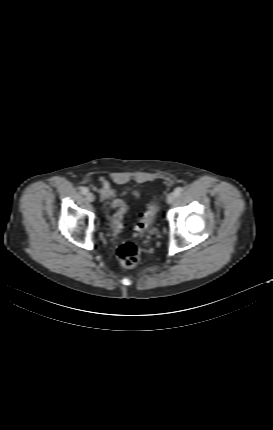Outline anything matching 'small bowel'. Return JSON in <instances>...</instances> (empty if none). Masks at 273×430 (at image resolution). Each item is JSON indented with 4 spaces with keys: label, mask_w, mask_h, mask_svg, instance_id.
<instances>
[{
    "label": "small bowel",
    "mask_w": 273,
    "mask_h": 430,
    "mask_svg": "<svg viewBox=\"0 0 273 430\" xmlns=\"http://www.w3.org/2000/svg\"><path fill=\"white\" fill-rule=\"evenodd\" d=\"M96 190L103 199L111 198L117 194V191L111 187L110 183L105 178L100 179L99 184L96 186ZM120 194L123 195L125 192H121ZM132 194L135 197L139 196L138 192L136 191H134Z\"/></svg>",
    "instance_id": "small-bowel-1"
}]
</instances>
